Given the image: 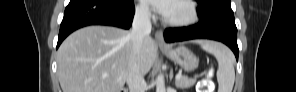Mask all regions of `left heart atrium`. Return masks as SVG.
Instances as JSON below:
<instances>
[{
	"label": "left heart atrium",
	"mask_w": 296,
	"mask_h": 92,
	"mask_svg": "<svg viewBox=\"0 0 296 92\" xmlns=\"http://www.w3.org/2000/svg\"><path fill=\"white\" fill-rule=\"evenodd\" d=\"M145 3L151 5L155 11L167 17L172 9V2L166 0H145Z\"/></svg>",
	"instance_id": "1"
}]
</instances>
